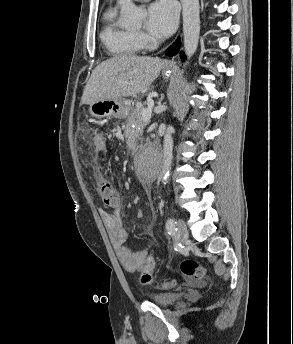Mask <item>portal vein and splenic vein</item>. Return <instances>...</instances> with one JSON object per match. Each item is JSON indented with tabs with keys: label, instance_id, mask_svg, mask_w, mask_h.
<instances>
[{
	"label": "portal vein and splenic vein",
	"instance_id": "portal-vein-and-splenic-vein-1",
	"mask_svg": "<svg viewBox=\"0 0 293 344\" xmlns=\"http://www.w3.org/2000/svg\"><path fill=\"white\" fill-rule=\"evenodd\" d=\"M151 114V108H142L141 115L144 122H148L151 119Z\"/></svg>",
	"mask_w": 293,
	"mask_h": 344
}]
</instances>
